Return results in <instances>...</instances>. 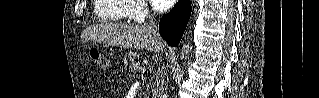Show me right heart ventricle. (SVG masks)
Segmentation results:
<instances>
[{"mask_svg":"<svg viewBox=\"0 0 319 98\" xmlns=\"http://www.w3.org/2000/svg\"><path fill=\"white\" fill-rule=\"evenodd\" d=\"M132 5L128 0H96L94 11L101 21H121L130 16Z\"/></svg>","mask_w":319,"mask_h":98,"instance_id":"right-heart-ventricle-1","label":"right heart ventricle"}]
</instances>
